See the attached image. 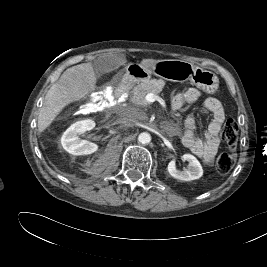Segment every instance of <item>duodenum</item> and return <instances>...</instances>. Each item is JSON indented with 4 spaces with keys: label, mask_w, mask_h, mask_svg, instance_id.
<instances>
[{
    "label": "duodenum",
    "mask_w": 267,
    "mask_h": 267,
    "mask_svg": "<svg viewBox=\"0 0 267 267\" xmlns=\"http://www.w3.org/2000/svg\"><path fill=\"white\" fill-rule=\"evenodd\" d=\"M135 79H136V76L133 74H130L124 77V79L119 84L117 95L121 99V101H124L126 99L127 93L131 89L132 84L134 83Z\"/></svg>",
    "instance_id": "1"
}]
</instances>
